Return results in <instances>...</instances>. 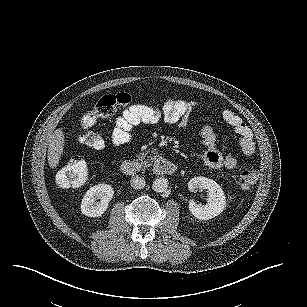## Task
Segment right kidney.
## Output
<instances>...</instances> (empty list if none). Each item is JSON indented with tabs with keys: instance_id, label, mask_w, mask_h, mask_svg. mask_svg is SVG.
Returning a JSON list of instances; mask_svg holds the SVG:
<instances>
[{
	"instance_id": "ca27d5eb",
	"label": "right kidney",
	"mask_w": 307,
	"mask_h": 307,
	"mask_svg": "<svg viewBox=\"0 0 307 307\" xmlns=\"http://www.w3.org/2000/svg\"><path fill=\"white\" fill-rule=\"evenodd\" d=\"M113 196L111 185L101 183L92 186L81 201V213L87 217H100L107 210Z\"/></svg>"
}]
</instances>
